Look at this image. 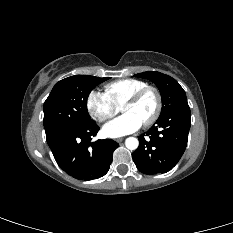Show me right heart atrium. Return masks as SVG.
I'll return each mask as SVG.
<instances>
[{"label": "right heart atrium", "instance_id": "d8ad5b80", "mask_svg": "<svg viewBox=\"0 0 233 233\" xmlns=\"http://www.w3.org/2000/svg\"><path fill=\"white\" fill-rule=\"evenodd\" d=\"M86 107L90 116L98 122H105L115 116L119 108L115 106L105 94L91 91L86 100Z\"/></svg>", "mask_w": 233, "mask_h": 233}]
</instances>
